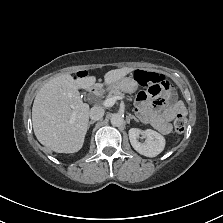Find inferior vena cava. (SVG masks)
Returning a JSON list of instances; mask_svg holds the SVG:
<instances>
[{
	"instance_id": "602c4592",
	"label": "inferior vena cava",
	"mask_w": 223,
	"mask_h": 223,
	"mask_svg": "<svg viewBox=\"0 0 223 223\" xmlns=\"http://www.w3.org/2000/svg\"><path fill=\"white\" fill-rule=\"evenodd\" d=\"M104 113H105L104 108L100 106H93L90 109L89 116L92 120H99L103 117Z\"/></svg>"
}]
</instances>
